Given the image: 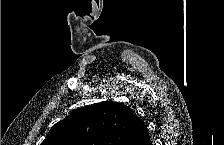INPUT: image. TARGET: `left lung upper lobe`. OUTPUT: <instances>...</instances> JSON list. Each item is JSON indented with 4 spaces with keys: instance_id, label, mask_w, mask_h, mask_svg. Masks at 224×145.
Wrapping results in <instances>:
<instances>
[{
    "instance_id": "5c2ea615",
    "label": "left lung upper lobe",
    "mask_w": 224,
    "mask_h": 145,
    "mask_svg": "<svg viewBox=\"0 0 224 145\" xmlns=\"http://www.w3.org/2000/svg\"><path fill=\"white\" fill-rule=\"evenodd\" d=\"M145 125L128 106L87 105L56 123L41 145H134Z\"/></svg>"
}]
</instances>
